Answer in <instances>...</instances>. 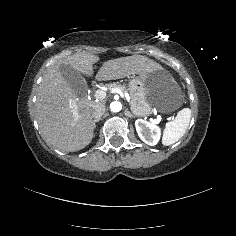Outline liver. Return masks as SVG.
<instances>
[{
	"label": "liver",
	"mask_w": 236,
	"mask_h": 236,
	"mask_svg": "<svg viewBox=\"0 0 236 236\" xmlns=\"http://www.w3.org/2000/svg\"><path fill=\"white\" fill-rule=\"evenodd\" d=\"M97 60L98 56L95 55L75 54L65 56L61 62L88 72ZM59 64L60 62L52 64L43 75L36 100L37 121L46 142L61 151L74 152L83 149L92 140L94 125L91 113L93 105L98 102L78 98L62 78L58 70ZM161 69V64L146 56H127L104 63L96 73V79H120L136 72L146 76ZM70 105L77 106V121L73 118ZM73 123L74 127L71 126Z\"/></svg>",
	"instance_id": "1"
}]
</instances>
